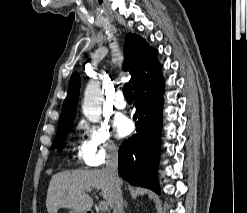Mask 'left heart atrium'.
<instances>
[{
    "instance_id": "obj_1",
    "label": "left heart atrium",
    "mask_w": 247,
    "mask_h": 213,
    "mask_svg": "<svg viewBox=\"0 0 247 213\" xmlns=\"http://www.w3.org/2000/svg\"><path fill=\"white\" fill-rule=\"evenodd\" d=\"M113 126L119 137H125L132 131L131 121L123 115L117 116L114 119Z\"/></svg>"
}]
</instances>
